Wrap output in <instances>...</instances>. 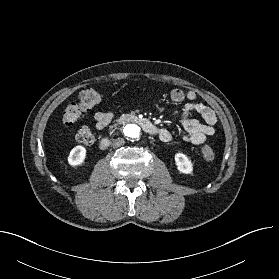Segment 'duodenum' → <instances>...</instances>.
<instances>
[{"label":"duodenum","mask_w":279,"mask_h":279,"mask_svg":"<svg viewBox=\"0 0 279 279\" xmlns=\"http://www.w3.org/2000/svg\"><path fill=\"white\" fill-rule=\"evenodd\" d=\"M126 123H136L138 124L145 132L156 135L157 134V128L146 118L139 117L137 115L132 114H125L122 115L117 120V125H123ZM110 144L109 138H102L99 142V146L101 149H106Z\"/></svg>","instance_id":"obj_1"}]
</instances>
